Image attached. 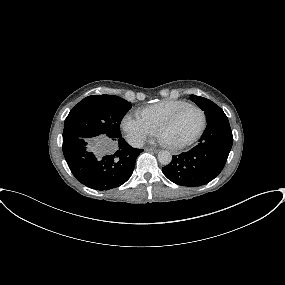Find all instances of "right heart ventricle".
Listing matches in <instances>:
<instances>
[{
	"label": "right heart ventricle",
	"mask_w": 285,
	"mask_h": 285,
	"mask_svg": "<svg viewBox=\"0 0 285 285\" xmlns=\"http://www.w3.org/2000/svg\"><path fill=\"white\" fill-rule=\"evenodd\" d=\"M186 104H188V102L184 100H163L142 109L138 114L145 122L154 129H157L159 124L171 116L177 109Z\"/></svg>",
	"instance_id": "1"
}]
</instances>
